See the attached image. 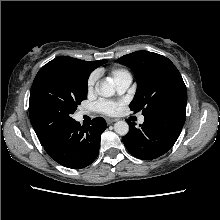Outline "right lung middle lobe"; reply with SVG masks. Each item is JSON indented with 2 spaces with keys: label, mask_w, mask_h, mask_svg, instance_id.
Wrapping results in <instances>:
<instances>
[{
  "label": "right lung middle lobe",
  "mask_w": 220,
  "mask_h": 220,
  "mask_svg": "<svg viewBox=\"0 0 220 220\" xmlns=\"http://www.w3.org/2000/svg\"><path fill=\"white\" fill-rule=\"evenodd\" d=\"M89 74L83 71L44 65L30 91L29 117L39 140L55 135L71 123L77 105L87 98Z\"/></svg>",
  "instance_id": "right-lung-middle-lobe-1"
}]
</instances>
